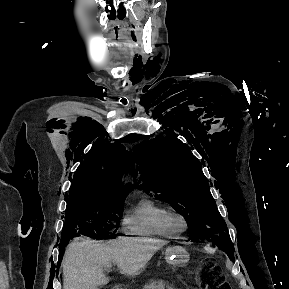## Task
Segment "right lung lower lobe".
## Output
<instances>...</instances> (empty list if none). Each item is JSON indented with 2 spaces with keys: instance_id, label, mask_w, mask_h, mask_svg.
<instances>
[{
  "instance_id": "98d812e1",
  "label": "right lung lower lobe",
  "mask_w": 289,
  "mask_h": 289,
  "mask_svg": "<svg viewBox=\"0 0 289 289\" xmlns=\"http://www.w3.org/2000/svg\"><path fill=\"white\" fill-rule=\"evenodd\" d=\"M67 244H65V243H60V245H59V256L61 257V255H62V253H63V250H64V248H65V246H66Z\"/></svg>"
}]
</instances>
